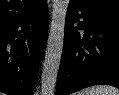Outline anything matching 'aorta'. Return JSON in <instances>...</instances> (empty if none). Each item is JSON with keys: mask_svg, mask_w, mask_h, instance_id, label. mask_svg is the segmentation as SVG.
Listing matches in <instances>:
<instances>
[{"mask_svg": "<svg viewBox=\"0 0 119 95\" xmlns=\"http://www.w3.org/2000/svg\"><path fill=\"white\" fill-rule=\"evenodd\" d=\"M69 0H53V14L41 77V95H54Z\"/></svg>", "mask_w": 119, "mask_h": 95, "instance_id": "762f6f07", "label": "aorta"}]
</instances>
